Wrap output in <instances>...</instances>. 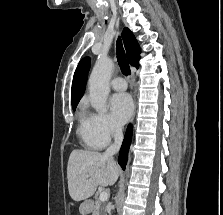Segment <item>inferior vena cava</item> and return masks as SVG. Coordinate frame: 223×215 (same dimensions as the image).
<instances>
[{"instance_id": "1", "label": "inferior vena cava", "mask_w": 223, "mask_h": 215, "mask_svg": "<svg viewBox=\"0 0 223 215\" xmlns=\"http://www.w3.org/2000/svg\"><path fill=\"white\" fill-rule=\"evenodd\" d=\"M122 139H123V131H122L121 127H115V129H114V143H112V145H110V147H108V149H106V151H104V153H103L104 157H112V155H114V153H117V151H119V147L122 143Z\"/></svg>"}]
</instances>
